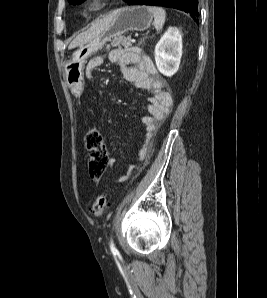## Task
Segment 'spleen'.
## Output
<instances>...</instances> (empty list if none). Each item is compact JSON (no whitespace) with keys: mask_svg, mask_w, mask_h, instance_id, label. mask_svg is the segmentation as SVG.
Masks as SVG:
<instances>
[{"mask_svg":"<svg viewBox=\"0 0 267 298\" xmlns=\"http://www.w3.org/2000/svg\"><path fill=\"white\" fill-rule=\"evenodd\" d=\"M147 9L154 16L153 25L157 31H160L166 20V11L161 7L148 6Z\"/></svg>","mask_w":267,"mask_h":298,"instance_id":"obj_1","label":"spleen"}]
</instances>
